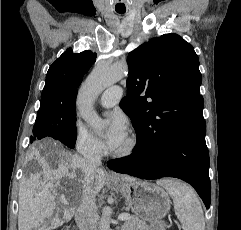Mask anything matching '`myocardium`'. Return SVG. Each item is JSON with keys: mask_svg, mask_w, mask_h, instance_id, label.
Segmentation results:
<instances>
[{"mask_svg": "<svg viewBox=\"0 0 241 230\" xmlns=\"http://www.w3.org/2000/svg\"><path fill=\"white\" fill-rule=\"evenodd\" d=\"M138 147V141L134 136L126 139L124 147L113 151L114 156L119 158H126L133 155Z\"/></svg>", "mask_w": 241, "mask_h": 230, "instance_id": "obj_1", "label": "myocardium"}]
</instances>
